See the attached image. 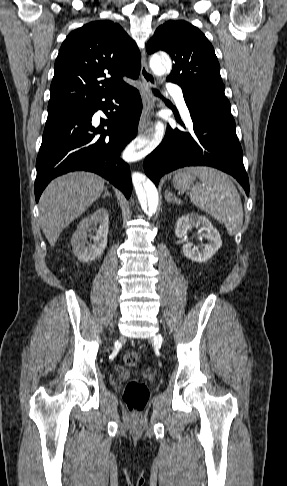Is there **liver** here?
Wrapping results in <instances>:
<instances>
[{
	"instance_id": "liver-1",
	"label": "liver",
	"mask_w": 287,
	"mask_h": 486,
	"mask_svg": "<svg viewBox=\"0 0 287 486\" xmlns=\"http://www.w3.org/2000/svg\"><path fill=\"white\" fill-rule=\"evenodd\" d=\"M105 180L89 172H72L54 179L39 201L41 228L50 246L60 233L102 194Z\"/></svg>"
}]
</instances>
